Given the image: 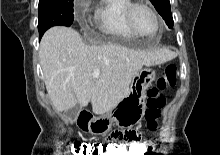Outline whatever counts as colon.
Segmentation results:
<instances>
[{
  "instance_id": "colon-1",
  "label": "colon",
  "mask_w": 220,
  "mask_h": 155,
  "mask_svg": "<svg viewBox=\"0 0 220 155\" xmlns=\"http://www.w3.org/2000/svg\"><path fill=\"white\" fill-rule=\"evenodd\" d=\"M176 82V66L169 65L161 73L155 85L147 91L145 119L150 130H155L158 126V119L165 105L163 91L173 88ZM109 137L110 135L108 139ZM125 142L126 146L94 145V143L75 142L73 149L78 155H149V151H154V146H147L143 139Z\"/></svg>"
}]
</instances>
